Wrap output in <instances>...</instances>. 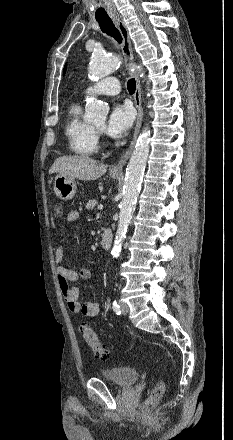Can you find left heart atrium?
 Returning <instances> with one entry per match:
<instances>
[{
	"mask_svg": "<svg viewBox=\"0 0 233 440\" xmlns=\"http://www.w3.org/2000/svg\"><path fill=\"white\" fill-rule=\"evenodd\" d=\"M134 121V113L128 104H116L112 107L105 126L106 132L118 138L123 136L132 126Z\"/></svg>",
	"mask_w": 233,
	"mask_h": 440,
	"instance_id": "1",
	"label": "left heart atrium"
}]
</instances>
